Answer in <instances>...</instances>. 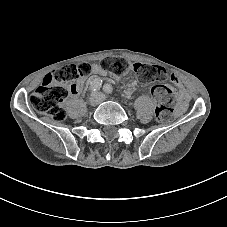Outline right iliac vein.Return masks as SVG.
<instances>
[{
  "instance_id": "obj_1",
  "label": "right iliac vein",
  "mask_w": 227,
  "mask_h": 227,
  "mask_svg": "<svg viewBox=\"0 0 227 227\" xmlns=\"http://www.w3.org/2000/svg\"><path fill=\"white\" fill-rule=\"evenodd\" d=\"M100 103H101L100 98L97 96L96 93H93V94L90 96V98H89V105H90L91 107H95V106H97V105L100 104Z\"/></svg>"
}]
</instances>
